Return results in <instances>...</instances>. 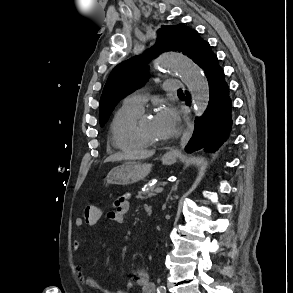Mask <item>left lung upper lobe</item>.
I'll list each match as a JSON object with an SVG mask.
<instances>
[{
    "instance_id": "5c2ea615",
    "label": "left lung upper lobe",
    "mask_w": 293,
    "mask_h": 293,
    "mask_svg": "<svg viewBox=\"0 0 293 293\" xmlns=\"http://www.w3.org/2000/svg\"><path fill=\"white\" fill-rule=\"evenodd\" d=\"M206 42L196 30L184 24L162 26L158 30L156 44L143 56L133 57L117 65L108 77L99 104V121L101 125L108 120L116 104L129 92L144 85L148 78L146 63L165 51H179L194 62Z\"/></svg>"
}]
</instances>
